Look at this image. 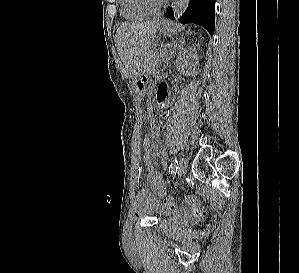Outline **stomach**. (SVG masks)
<instances>
[{
	"label": "stomach",
	"mask_w": 299,
	"mask_h": 273,
	"mask_svg": "<svg viewBox=\"0 0 299 273\" xmlns=\"http://www.w3.org/2000/svg\"><path fill=\"white\" fill-rule=\"evenodd\" d=\"M157 31L159 34L168 35L173 32V27L167 21H161L157 26ZM150 79V76L147 74L143 76L140 74L136 79V87L138 92L143 95L147 91V82Z\"/></svg>",
	"instance_id": "stomach-1"
}]
</instances>
